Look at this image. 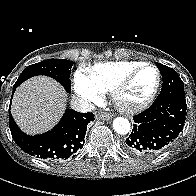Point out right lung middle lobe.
Segmentation results:
<instances>
[{"instance_id": "dd1d6c3e", "label": "right lung middle lobe", "mask_w": 196, "mask_h": 196, "mask_svg": "<svg viewBox=\"0 0 196 196\" xmlns=\"http://www.w3.org/2000/svg\"><path fill=\"white\" fill-rule=\"evenodd\" d=\"M73 62L64 59H47L42 62L28 66L19 76L13 88L18 87L22 82L30 77L46 75L54 78L63 85L67 92H71V67Z\"/></svg>"}]
</instances>
